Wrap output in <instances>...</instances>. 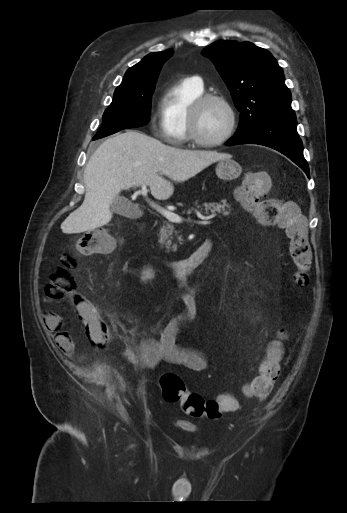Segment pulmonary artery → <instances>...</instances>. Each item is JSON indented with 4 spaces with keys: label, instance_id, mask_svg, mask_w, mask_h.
<instances>
[{
    "label": "pulmonary artery",
    "instance_id": "obj_1",
    "mask_svg": "<svg viewBox=\"0 0 347 513\" xmlns=\"http://www.w3.org/2000/svg\"><path fill=\"white\" fill-rule=\"evenodd\" d=\"M190 79L193 82H195L197 85L203 86V81H202L201 77H199V76H192V77H190Z\"/></svg>",
    "mask_w": 347,
    "mask_h": 513
}]
</instances>
